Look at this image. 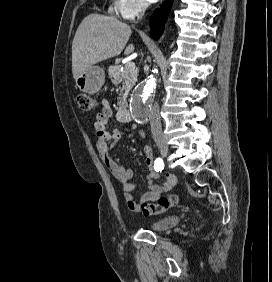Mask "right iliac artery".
Masks as SVG:
<instances>
[{
    "label": "right iliac artery",
    "mask_w": 272,
    "mask_h": 282,
    "mask_svg": "<svg viewBox=\"0 0 272 282\" xmlns=\"http://www.w3.org/2000/svg\"><path fill=\"white\" fill-rule=\"evenodd\" d=\"M154 169L156 171H162L164 169V162L161 158H157L154 162Z\"/></svg>",
    "instance_id": "1"
}]
</instances>
